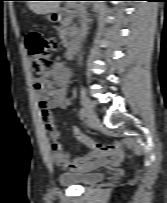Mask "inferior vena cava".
<instances>
[{
	"mask_svg": "<svg viewBox=\"0 0 167 203\" xmlns=\"http://www.w3.org/2000/svg\"><path fill=\"white\" fill-rule=\"evenodd\" d=\"M87 23H88V19H87L86 11L84 9H81V11H80V25H81L80 34L83 39L86 37V34H87Z\"/></svg>",
	"mask_w": 167,
	"mask_h": 203,
	"instance_id": "1",
	"label": "inferior vena cava"
}]
</instances>
